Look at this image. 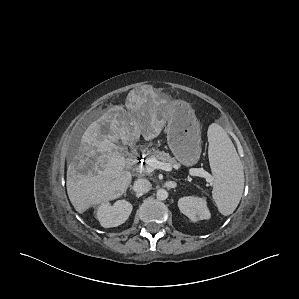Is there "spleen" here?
<instances>
[{
    "mask_svg": "<svg viewBox=\"0 0 299 299\" xmlns=\"http://www.w3.org/2000/svg\"><path fill=\"white\" fill-rule=\"evenodd\" d=\"M207 135L214 175L212 195L219 212L227 216L237 208L243 194V166L231 139L219 124L212 123Z\"/></svg>",
    "mask_w": 299,
    "mask_h": 299,
    "instance_id": "3e777b00",
    "label": "spleen"
}]
</instances>
